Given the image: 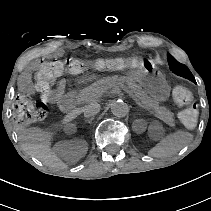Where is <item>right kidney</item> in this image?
Returning <instances> with one entry per match:
<instances>
[{
    "label": "right kidney",
    "mask_w": 211,
    "mask_h": 211,
    "mask_svg": "<svg viewBox=\"0 0 211 211\" xmlns=\"http://www.w3.org/2000/svg\"><path fill=\"white\" fill-rule=\"evenodd\" d=\"M66 130H67L68 132H72V133L76 131L75 126H74L73 124H71V123H68V124L66 125Z\"/></svg>",
    "instance_id": "right-kidney-1"
}]
</instances>
